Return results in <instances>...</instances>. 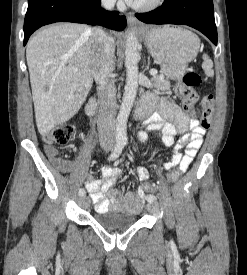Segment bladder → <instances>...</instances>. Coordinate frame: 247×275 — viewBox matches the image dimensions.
<instances>
[{
    "instance_id": "1",
    "label": "bladder",
    "mask_w": 247,
    "mask_h": 275,
    "mask_svg": "<svg viewBox=\"0 0 247 275\" xmlns=\"http://www.w3.org/2000/svg\"><path fill=\"white\" fill-rule=\"evenodd\" d=\"M96 223L109 231H122L135 225L137 216L113 211L98 212L95 217Z\"/></svg>"
}]
</instances>
